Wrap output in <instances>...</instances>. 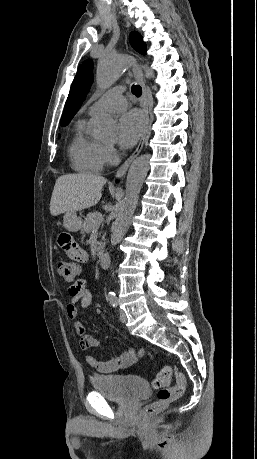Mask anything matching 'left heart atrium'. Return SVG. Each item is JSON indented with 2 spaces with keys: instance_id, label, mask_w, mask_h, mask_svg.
<instances>
[{
  "instance_id": "39dd6f15",
  "label": "left heart atrium",
  "mask_w": 257,
  "mask_h": 459,
  "mask_svg": "<svg viewBox=\"0 0 257 459\" xmlns=\"http://www.w3.org/2000/svg\"><path fill=\"white\" fill-rule=\"evenodd\" d=\"M144 122L138 111L124 113L118 122L117 139L123 149L131 148L138 141L143 131Z\"/></svg>"
}]
</instances>
